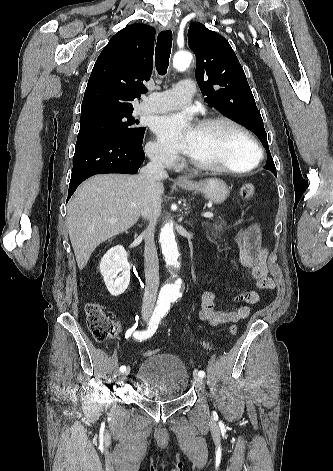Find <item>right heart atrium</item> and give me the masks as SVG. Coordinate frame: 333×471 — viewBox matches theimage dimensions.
<instances>
[{"mask_svg": "<svg viewBox=\"0 0 333 471\" xmlns=\"http://www.w3.org/2000/svg\"><path fill=\"white\" fill-rule=\"evenodd\" d=\"M149 158L158 166L174 168L180 162L179 156L159 141H151L146 147Z\"/></svg>", "mask_w": 333, "mask_h": 471, "instance_id": "d8ad5b80", "label": "right heart atrium"}]
</instances>
